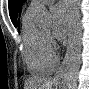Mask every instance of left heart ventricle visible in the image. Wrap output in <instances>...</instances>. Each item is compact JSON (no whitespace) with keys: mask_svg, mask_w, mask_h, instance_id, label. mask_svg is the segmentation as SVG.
Wrapping results in <instances>:
<instances>
[{"mask_svg":"<svg viewBox=\"0 0 89 89\" xmlns=\"http://www.w3.org/2000/svg\"><path fill=\"white\" fill-rule=\"evenodd\" d=\"M44 33H49V29H44V31H43Z\"/></svg>","mask_w":89,"mask_h":89,"instance_id":"obj_1","label":"left heart ventricle"}]
</instances>
